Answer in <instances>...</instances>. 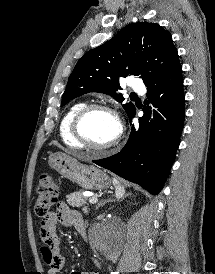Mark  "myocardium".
<instances>
[{
    "label": "myocardium",
    "mask_w": 215,
    "mask_h": 274,
    "mask_svg": "<svg viewBox=\"0 0 215 274\" xmlns=\"http://www.w3.org/2000/svg\"><path fill=\"white\" fill-rule=\"evenodd\" d=\"M94 111H105L110 113L115 117L118 123V134L117 136L109 143L104 145H96L92 143L83 133L82 125L84 120L87 118L89 114H91ZM71 131L73 137L77 140L79 144H81L83 147L88 148L90 150L96 151V152H105L110 150L111 148L115 147L121 140L123 136V125L120 120V117L115 109L112 107L101 104V103H92V104H86L84 107H82L74 116L72 124H71Z\"/></svg>",
    "instance_id": "obj_1"
}]
</instances>
